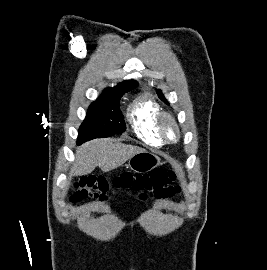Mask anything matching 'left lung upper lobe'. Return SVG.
Returning <instances> with one entry per match:
<instances>
[{
	"label": "left lung upper lobe",
	"instance_id": "obj_1",
	"mask_svg": "<svg viewBox=\"0 0 267 270\" xmlns=\"http://www.w3.org/2000/svg\"><path fill=\"white\" fill-rule=\"evenodd\" d=\"M157 94L159 96V98L164 101L166 104H168V101L165 99V97L163 96L161 90H157Z\"/></svg>",
	"mask_w": 267,
	"mask_h": 270
}]
</instances>
